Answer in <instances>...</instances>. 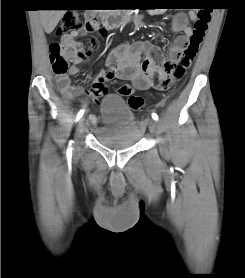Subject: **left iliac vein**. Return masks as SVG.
<instances>
[{
  "instance_id": "left-iliac-vein-1",
  "label": "left iliac vein",
  "mask_w": 245,
  "mask_h": 278,
  "mask_svg": "<svg viewBox=\"0 0 245 278\" xmlns=\"http://www.w3.org/2000/svg\"><path fill=\"white\" fill-rule=\"evenodd\" d=\"M149 129L151 132L156 133V131H157L156 121H154V120L149 121Z\"/></svg>"
}]
</instances>
